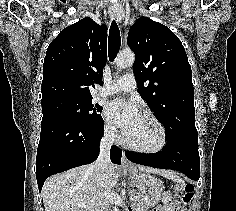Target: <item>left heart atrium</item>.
<instances>
[{"label": "left heart atrium", "mask_w": 236, "mask_h": 211, "mask_svg": "<svg viewBox=\"0 0 236 211\" xmlns=\"http://www.w3.org/2000/svg\"><path fill=\"white\" fill-rule=\"evenodd\" d=\"M140 116L136 105L124 100L110 102L106 111L107 119L119 127L124 134L135 124Z\"/></svg>", "instance_id": "obj_1"}]
</instances>
